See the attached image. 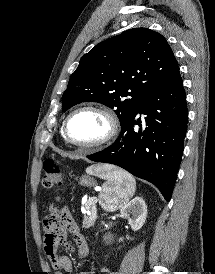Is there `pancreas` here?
Wrapping results in <instances>:
<instances>
[{"label": "pancreas", "instance_id": "obj_1", "mask_svg": "<svg viewBox=\"0 0 215 274\" xmlns=\"http://www.w3.org/2000/svg\"><path fill=\"white\" fill-rule=\"evenodd\" d=\"M95 203H96L95 199L90 198L85 205V208L90 210L92 213L90 216H85V221H84L85 226L92 225L95 222V216H94V212L96 211Z\"/></svg>", "mask_w": 215, "mask_h": 274}]
</instances>
